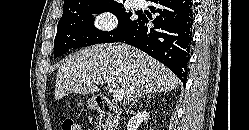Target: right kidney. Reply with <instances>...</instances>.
<instances>
[{
    "label": "right kidney",
    "instance_id": "obj_1",
    "mask_svg": "<svg viewBox=\"0 0 249 130\" xmlns=\"http://www.w3.org/2000/svg\"><path fill=\"white\" fill-rule=\"evenodd\" d=\"M149 118V113L146 111H140L137 114H135L131 119L129 120L127 124L128 130H137L140 126V124L144 121L146 122Z\"/></svg>",
    "mask_w": 249,
    "mask_h": 130
}]
</instances>
